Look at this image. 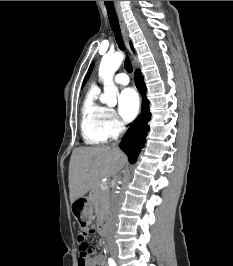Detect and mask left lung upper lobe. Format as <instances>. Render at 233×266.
Instances as JSON below:
<instances>
[{
	"label": "left lung upper lobe",
	"instance_id": "obj_1",
	"mask_svg": "<svg viewBox=\"0 0 233 266\" xmlns=\"http://www.w3.org/2000/svg\"><path fill=\"white\" fill-rule=\"evenodd\" d=\"M92 68H93V65L90 67V69H89V71H88V73H87V75H86V77H85V79H84V82H83V85L86 83V81L88 80V78H89V76H90V73H91V71H92Z\"/></svg>",
	"mask_w": 233,
	"mask_h": 266
}]
</instances>
